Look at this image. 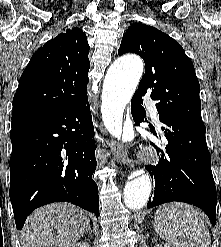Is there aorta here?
Listing matches in <instances>:
<instances>
[{"label":"aorta","instance_id":"aorta-1","mask_svg":"<svg viewBox=\"0 0 221 247\" xmlns=\"http://www.w3.org/2000/svg\"><path fill=\"white\" fill-rule=\"evenodd\" d=\"M143 62L137 56L118 58L109 67L102 90V116L106 128L121 136L124 109L131 99L143 73ZM151 194V178L142 174L126 183L124 204L127 208H143Z\"/></svg>","mask_w":221,"mask_h":247}]
</instances>
